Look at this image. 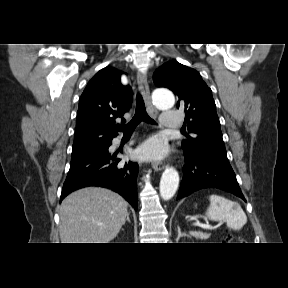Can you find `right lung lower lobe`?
Here are the masks:
<instances>
[{
  "instance_id": "1",
  "label": "right lung lower lobe",
  "mask_w": 288,
  "mask_h": 288,
  "mask_svg": "<svg viewBox=\"0 0 288 288\" xmlns=\"http://www.w3.org/2000/svg\"><path fill=\"white\" fill-rule=\"evenodd\" d=\"M111 144L112 140L99 149L71 160L60 200L77 189L101 186L119 193L137 209L136 177L139 166L133 162L121 163L120 159L113 162L115 157H111L108 152Z\"/></svg>"
}]
</instances>
